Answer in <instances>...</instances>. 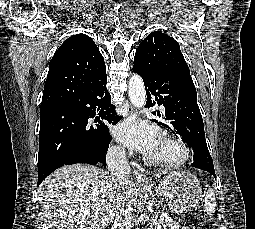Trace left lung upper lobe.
Instances as JSON below:
<instances>
[{
	"label": "left lung upper lobe",
	"instance_id": "obj_1",
	"mask_svg": "<svg viewBox=\"0 0 255 229\" xmlns=\"http://www.w3.org/2000/svg\"><path fill=\"white\" fill-rule=\"evenodd\" d=\"M134 65L143 71L173 73L192 81L179 44L160 31L152 32L140 43ZM179 135L184 141H189L185 135Z\"/></svg>",
	"mask_w": 255,
	"mask_h": 229
}]
</instances>
